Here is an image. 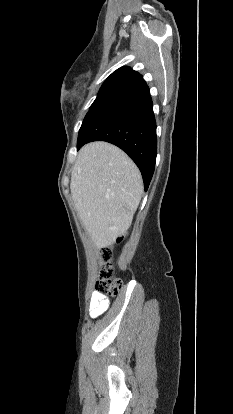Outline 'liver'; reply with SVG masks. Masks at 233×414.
Returning a JSON list of instances; mask_svg holds the SVG:
<instances>
[{
  "instance_id": "1",
  "label": "liver",
  "mask_w": 233,
  "mask_h": 414,
  "mask_svg": "<svg viewBox=\"0 0 233 414\" xmlns=\"http://www.w3.org/2000/svg\"><path fill=\"white\" fill-rule=\"evenodd\" d=\"M70 189L85 230L97 247H106L130 225L143 182L139 169L121 149L98 141L78 152Z\"/></svg>"
}]
</instances>
